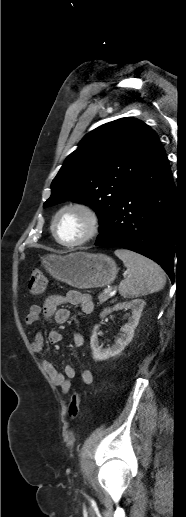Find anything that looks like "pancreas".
<instances>
[{"mask_svg": "<svg viewBox=\"0 0 186 517\" xmlns=\"http://www.w3.org/2000/svg\"><path fill=\"white\" fill-rule=\"evenodd\" d=\"M109 298H110L109 293H105V292L100 293L99 296H98V299H99L100 303L106 302Z\"/></svg>", "mask_w": 186, "mask_h": 517, "instance_id": "1", "label": "pancreas"}]
</instances>
